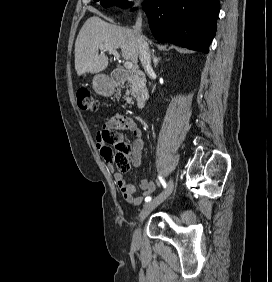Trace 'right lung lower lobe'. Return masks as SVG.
I'll return each instance as SVG.
<instances>
[{"instance_id":"98d812e1","label":"right lung lower lobe","mask_w":272,"mask_h":282,"mask_svg":"<svg viewBox=\"0 0 272 282\" xmlns=\"http://www.w3.org/2000/svg\"><path fill=\"white\" fill-rule=\"evenodd\" d=\"M143 8L159 42L208 53L216 33L218 0H145Z\"/></svg>"}]
</instances>
